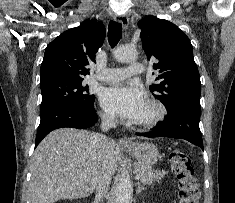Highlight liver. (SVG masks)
<instances>
[{"instance_id":"6515ba94","label":"liver","mask_w":235,"mask_h":203,"mask_svg":"<svg viewBox=\"0 0 235 203\" xmlns=\"http://www.w3.org/2000/svg\"><path fill=\"white\" fill-rule=\"evenodd\" d=\"M119 159L120 149L113 141L103 150L95 133L54 130L37 146L31 160V201L54 203L88 197L96 188L102 165L113 175Z\"/></svg>"}]
</instances>
